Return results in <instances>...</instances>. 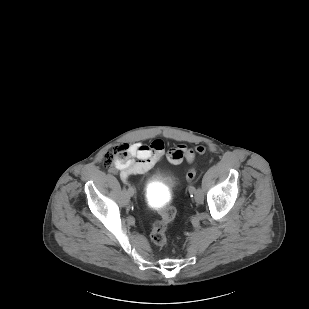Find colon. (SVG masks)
I'll use <instances>...</instances> for the list:
<instances>
[{
  "label": "colon",
  "mask_w": 309,
  "mask_h": 309,
  "mask_svg": "<svg viewBox=\"0 0 309 309\" xmlns=\"http://www.w3.org/2000/svg\"><path fill=\"white\" fill-rule=\"evenodd\" d=\"M172 150H170L168 154V159ZM205 151L206 147L204 145H199L196 147V153L198 155H203ZM129 157V146L126 144H117L105 154L103 164L106 168L112 169L126 162ZM195 177L196 168L192 166L188 169L186 173V179L189 183H191L194 181ZM174 217L175 211L173 208L166 206L162 209L161 218L153 224L150 232L151 240L155 245L162 247L167 244V229L170 223L173 221Z\"/></svg>",
  "instance_id": "obj_1"
}]
</instances>
